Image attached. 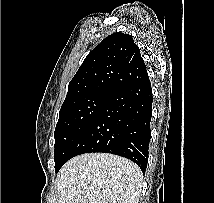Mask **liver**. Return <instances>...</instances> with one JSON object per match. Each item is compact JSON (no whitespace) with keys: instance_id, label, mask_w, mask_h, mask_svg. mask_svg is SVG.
Wrapping results in <instances>:
<instances>
[{"instance_id":"obj_1","label":"liver","mask_w":214,"mask_h":203,"mask_svg":"<svg viewBox=\"0 0 214 203\" xmlns=\"http://www.w3.org/2000/svg\"><path fill=\"white\" fill-rule=\"evenodd\" d=\"M142 180L140 168L126 158L82 154L58 174V203H139Z\"/></svg>"}]
</instances>
